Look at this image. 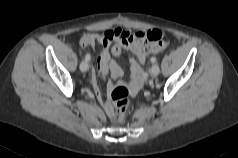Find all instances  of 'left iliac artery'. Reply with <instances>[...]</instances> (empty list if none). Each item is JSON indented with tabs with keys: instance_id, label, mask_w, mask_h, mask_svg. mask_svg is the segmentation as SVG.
<instances>
[{
	"instance_id": "left-iliac-artery-1",
	"label": "left iliac artery",
	"mask_w": 238,
	"mask_h": 158,
	"mask_svg": "<svg viewBox=\"0 0 238 158\" xmlns=\"http://www.w3.org/2000/svg\"><path fill=\"white\" fill-rule=\"evenodd\" d=\"M156 61H157L156 57H152V58H151V62H152V63H155Z\"/></svg>"
}]
</instances>
